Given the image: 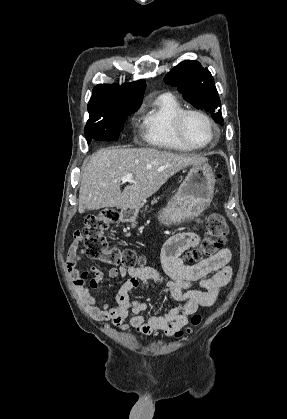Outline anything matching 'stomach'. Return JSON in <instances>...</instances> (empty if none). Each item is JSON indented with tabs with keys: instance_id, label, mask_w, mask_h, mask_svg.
<instances>
[{
	"instance_id": "obj_1",
	"label": "stomach",
	"mask_w": 287,
	"mask_h": 419,
	"mask_svg": "<svg viewBox=\"0 0 287 419\" xmlns=\"http://www.w3.org/2000/svg\"><path fill=\"white\" fill-rule=\"evenodd\" d=\"M215 176L206 162L192 165L174 197L160 214L166 225L199 216L210 205L214 196ZM143 206V205H142ZM142 206L122 208L119 219L136 223Z\"/></svg>"
}]
</instances>
